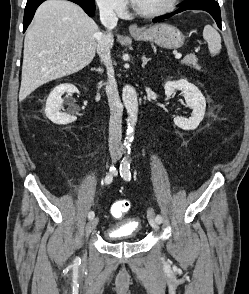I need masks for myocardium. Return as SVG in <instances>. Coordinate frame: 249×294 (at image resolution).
I'll use <instances>...</instances> for the list:
<instances>
[{
	"instance_id": "1",
	"label": "myocardium",
	"mask_w": 249,
	"mask_h": 294,
	"mask_svg": "<svg viewBox=\"0 0 249 294\" xmlns=\"http://www.w3.org/2000/svg\"><path fill=\"white\" fill-rule=\"evenodd\" d=\"M180 1L181 0H172L171 3L167 7L159 9V10H154V11L143 10L140 7H138L134 1L133 2V9L137 14H139L143 17H147V18L159 17V16H163V15H166V14L172 12L177 7V5L179 4Z\"/></svg>"
}]
</instances>
